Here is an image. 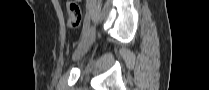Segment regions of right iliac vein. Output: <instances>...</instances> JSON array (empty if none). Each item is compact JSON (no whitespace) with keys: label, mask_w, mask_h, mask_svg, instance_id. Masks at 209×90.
Masks as SVG:
<instances>
[{"label":"right iliac vein","mask_w":209,"mask_h":90,"mask_svg":"<svg viewBox=\"0 0 209 90\" xmlns=\"http://www.w3.org/2000/svg\"><path fill=\"white\" fill-rule=\"evenodd\" d=\"M95 39V28L90 27L83 41L72 55L73 61L79 60L90 49Z\"/></svg>","instance_id":"63e3f726"}]
</instances>
